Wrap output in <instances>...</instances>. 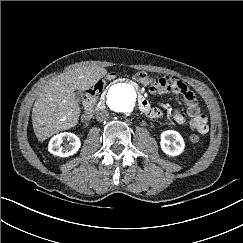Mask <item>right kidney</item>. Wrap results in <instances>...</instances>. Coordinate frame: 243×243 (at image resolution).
I'll return each mask as SVG.
<instances>
[{
    "label": "right kidney",
    "mask_w": 243,
    "mask_h": 243,
    "mask_svg": "<svg viewBox=\"0 0 243 243\" xmlns=\"http://www.w3.org/2000/svg\"><path fill=\"white\" fill-rule=\"evenodd\" d=\"M67 141L68 144L65 147L61 146L64 141ZM81 147V141L79 137H77L73 133L64 132L55 135L51 138L48 150L53 155H57L60 157H68L75 154L79 148Z\"/></svg>",
    "instance_id": "right-kidney-1"
}]
</instances>
